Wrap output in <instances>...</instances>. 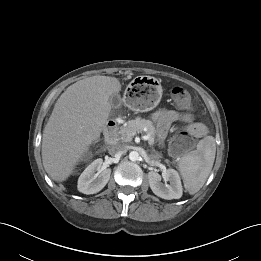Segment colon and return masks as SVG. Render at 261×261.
Listing matches in <instances>:
<instances>
[{"mask_svg":"<svg viewBox=\"0 0 261 261\" xmlns=\"http://www.w3.org/2000/svg\"><path fill=\"white\" fill-rule=\"evenodd\" d=\"M174 101L184 109H191L194 106V99L189 90L184 87L176 86L171 91ZM192 131L181 130L175 134L170 143V150L175 155H181L192 148L194 140L191 136Z\"/></svg>","mask_w":261,"mask_h":261,"instance_id":"5ec220e1","label":"colon"}]
</instances>
